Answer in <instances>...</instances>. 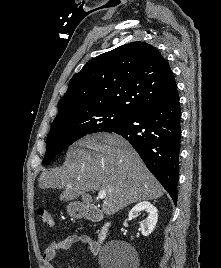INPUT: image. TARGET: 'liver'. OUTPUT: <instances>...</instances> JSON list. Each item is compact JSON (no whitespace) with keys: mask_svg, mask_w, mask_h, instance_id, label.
I'll use <instances>...</instances> for the list:
<instances>
[{"mask_svg":"<svg viewBox=\"0 0 221 268\" xmlns=\"http://www.w3.org/2000/svg\"><path fill=\"white\" fill-rule=\"evenodd\" d=\"M39 186L64 189L59 196L61 201L104 190L102 211L106 215L164 194L162 185L128 141L109 133L88 136L73 144L63 167L44 171L39 177Z\"/></svg>","mask_w":221,"mask_h":268,"instance_id":"liver-1","label":"liver"}]
</instances>
